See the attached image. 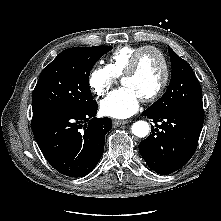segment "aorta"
I'll list each match as a JSON object with an SVG mask.
<instances>
[{
    "label": "aorta",
    "instance_id": "762f6f07",
    "mask_svg": "<svg viewBox=\"0 0 221 221\" xmlns=\"http://www.w3.org/2000/svg\"><path fill=\"white\" fill-rule=\"evenodd\" d=\"M131 131L135 136L142 138L149 134L150 126L146 121H137L133 123Z\"/></svg>",
    "mask_w": 221,
    "mask_h": 221
}]
</instances>
